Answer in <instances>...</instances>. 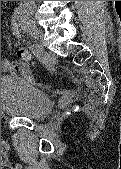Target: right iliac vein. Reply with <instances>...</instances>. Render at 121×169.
Masks as SVG:
<instances>
[{
    "label": "right iliac vein",
    "instance_id": "obj_1",
    "mask_svg": "<svg viewBox=\"0 0 121 169\" xmlns=\"http://www.w3.org/2000/svg\"><path fill=\"white\" fill-rule=\"evenodd\" d=\"M23 25L25 29L29 31L35 39L40 41L42 40L43 37L42 32L40 31V29L37 27V25L32 19L25 18L23 20Z\"/></svg>",
    "mask_w": 121,
    "mask_h": 169
}]
</instances>
